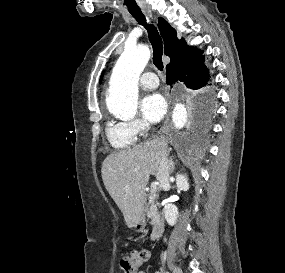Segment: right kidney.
<instances>
[{"instance_id":"obj_1","label":"right kidney","mask_w":285,"mask_h":273,"mask_svg":"<svg viewBox=\"0 0 285 273\" xmlns=\"http://www.w3.org/2000/svg\"><path fill=\"white\" fill-rule=\"evenodd\" d=\"M176 183L180 190L187 191L189 189L188 179L186 176L182 174H177ZM164 214H165V219L169 225L173 226L176 224L179 212L175 205L167 204L164 207Z\"/></svg>"}]
</instances>
